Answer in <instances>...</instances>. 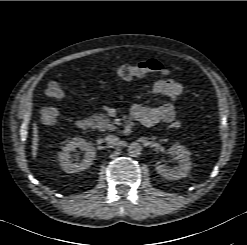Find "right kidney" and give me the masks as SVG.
Masks as SVG:
<instances>
[{
    "mask_svg": "<svg viewBox=\"0 0 247 245\" xmlns=\"http://www.w3.org/2000/svg\"><path fill=\"white\" fill-rule=\"evenodd\" d=\"M80 148L85 152V156L80 163H72L70 160V152ZM96 149L91 143L84 139L76 137L69 141L59 155L60 166L66 173H76L88 169L95 159Z\"/></svg>",
    "mask_w": 247,
    "mask_h": 245,
    "instance_id": "right-kidney-1",
    "label": "right kidney"
}]
</instances>
